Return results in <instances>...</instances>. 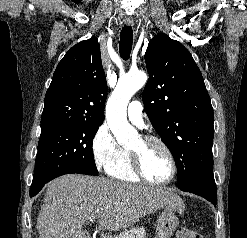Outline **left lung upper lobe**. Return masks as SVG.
<instances>
[{
	"instance_id": "obj_1",
	"label": "left lung upper lobe",
	"mask_w": 247,
	"mask_h": 238,
	"mask_svg": "<svg viewBox=\"0 0 247 238\" xmlns=\"http://www.w3.org/2000/svg\"><path fill=\"white\" fill-rule=\"evenodd\" d=\"M145 62L149 80L142 100L152 126L170 149L183 189L213 175V108L202 74L190 52L159 33L150 40Z\"/></svg>"
}]
</instances>
